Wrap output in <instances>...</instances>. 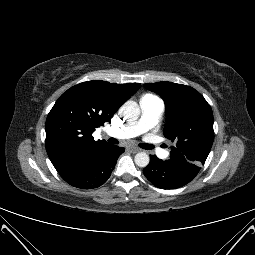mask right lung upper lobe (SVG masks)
Returning <instances> with one entry per match:
<instances>
[{
  "label": "right lung upper lobe",
  "instance_id": "obj_1",
  "mask_svg": "<svg viewBox=\"0 0 255 255\" xmlns=\"http://www.w3.org/2000/svg\"><path fill=\"white\" fill-rule=\"evenodd\" d=\"M139 87V83L94 80L75 85L60 96L45 125L46 150L57 171L110 145L95 141L92 133L110 121Z\"/></svg>",
  "mask_w": 255,
  "mask_h": 255
}]
</instances>
